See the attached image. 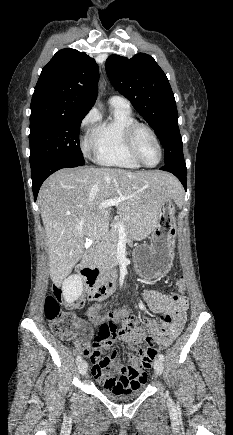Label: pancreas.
I'll list each match as a JSON object with an SVG mask.
<instances>
[{
    "label": "pancreas",
    "instance_id": "1",
    "mask_svg": "<svg viewBox=\"0 0 233 435\" xmlns=\"http://www.w3.org/2000/svg\"><path fill=\"white\" fill-rule=\"evenodd\" d=\"M124 223V221L122 220ZM125 227L126 224L124 223ZM126 233L128 234L127 228ZM119 229L118 227L112 226L111 230L107 234L105 241L100 247L99 251L95 256V262L102 272L110 271L117 262V244L119 241ZM129 235V234H128Z\"/></svg>",
    "mask_w": 233,
    "mask_h": 435
}]
</instances>
